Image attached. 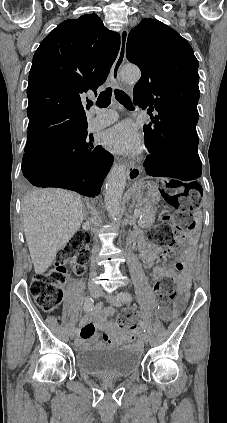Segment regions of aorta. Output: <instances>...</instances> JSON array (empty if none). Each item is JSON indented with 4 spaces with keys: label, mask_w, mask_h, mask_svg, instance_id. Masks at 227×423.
<instances>
[{
    "label": "aorta",
    "mask_w": 227,
    "mask_h": 423,
    "mask_svg": "<svg viewBox=\"0 0 227 423\" xmlns=\"http://www.w3.org/2000/svg\"><path fill=\"white\" fill-rule=\"evenodd\" d=\"M140 70L135 66H125L122 78L126 82H137ZM126 184V168L124 165H114L106 179L104 201L109 216L117 222L121 215V200Z\"/></svg>",
    "instance_id": "762f6f07"
}]
</instances>
